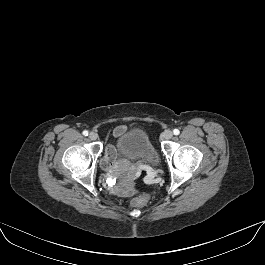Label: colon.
I'll use <instances>...</instances> for the list:
<instances>
[{"instance_id":"obj_1","label":"colon","mask_w":265,"mask_h":265,"mask_svg":"<svg viewBox=\"0 0 265 265\" xmlns=\"http://www.w3.org/2000/svg\"><path fill=\"white\" fill-rule=\"evenodd\" d=\"M148 198L146 195H139L132 199L131 205L135 208L144 207L147 204Z\"/></svg>"}]
</instances>
